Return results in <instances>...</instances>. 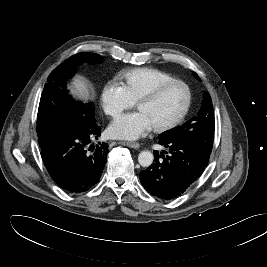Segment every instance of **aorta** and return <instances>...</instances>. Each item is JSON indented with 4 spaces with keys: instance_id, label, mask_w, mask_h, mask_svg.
I'll use <instances>...</instances> for the list:
<instances>
[{
    "instance_id": "aorta-1",
    "label": "aorta",
    "mask_w": 267,
    "mask_h": 267,
    "mask_svg": "<svg viewBox=\"0 0 267 267\" xmlns=\"http://www.w3.org/2000/svg\"><path fill=\"white\" fill-rule=\"evenodd\" d=\"M154 160V156L150 151H142L138 155V162L142 167H149Z\"/></svg>"
}]
</instances>
